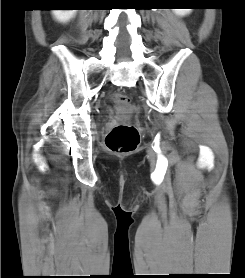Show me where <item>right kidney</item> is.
I'll use <instances>...</instances> for the list:
<instances>
[{
    "instance_id": "1",
    "label": "right kidney",
    "mask_w": 245,
    "mask_h": 278,
    "mask_svg": "<svg viewBox=\"0 0 245 278\" xmlns=\"http://www.w3.org/2000/svg\"><path fill=\"white\" fill-rule=\"evenodd\" d=\"M77 10H52L54 17L60 22H67L74 17Z\"/></svg>"
}]
</instances>
